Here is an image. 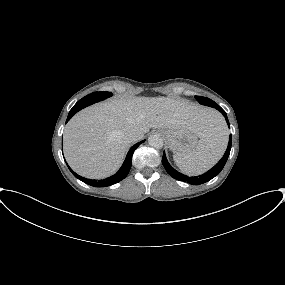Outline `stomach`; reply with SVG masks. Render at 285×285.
<instances>
[{"label":"stomach","instance_id":"0dacf381","mask_svg":"<svg viewBox=\"0 0 285 285\" xmlns=\"http://www.w3.org/2000/svg\"><path fill=\"white\" fill-rule=\"evenodd\" d=\"M162 135L169 148L176 153L187 154L198 143V136L189 130H162Z\"/></svg>","mask_w":285,"mask_h":285}]
</instances>
